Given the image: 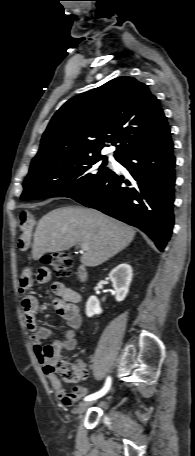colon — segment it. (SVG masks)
<instances>
[{"instance_id":"colon-1","label":"colon","mask_w":195,"mask_h":456,"mask_svg":"<svg viewBox=\"0 0 195 456\" xmlns=\"http://www.w3.org/2000/svg\"><path fill=\"white\" fill-rule=\"evenodd\" d=\"M42 262L51 266L59 277L68 276L73 266L72 256L64 251L47 254L43 256ZM45 371L50 374L59 375L67 383H76L85 374L84 370L78 364L62 359L49 362L45 366Z\"/></svg>"}]
</instances>
